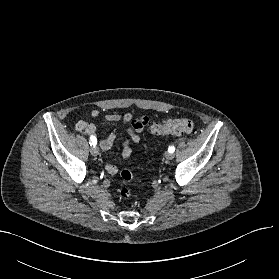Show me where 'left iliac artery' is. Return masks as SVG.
Instances as JSON below:
<instances>
[{"mask_svg": "<svg viewBox=\"0 0 279 279\" xmlns=\"http://www.w3.org/2000/svg\"><path fill=\"white\" fill-rule=\"evenodd\" d=\"M168 151H169L170 153H173V152L175 151V148H174L173 146H170V147L168 148Z\"/></svg>", "mask_w": 279, "mask_h": 279, "instance_id": "obj_1", "label": "left iliac artery"}]
</instances>
